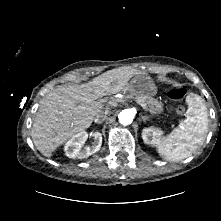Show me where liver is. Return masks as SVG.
Instances as JSON below:
<instances>
[{"label":"liver","instance_id":"6515ba94","mask_svg":"<svg viewBox=\"0 0 221 221\" xmlns=\"http://www.w3.org/2000/svg\"><path fill=\"white\" fill-rule=\"evenodd\" d=\"M125 69L109 70L88 83L59 86L40 102L31 137L34 145L46 157L67 140L89 128L97 113L103 111L105 95L121 91L133 76Z\"/></svg>","mask_w":221,"mask_h":221}]
</instances>
